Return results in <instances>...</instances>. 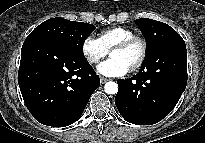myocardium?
<instances>
[{
	"instance_id": "myocardium-1",
	"label": "myocardium",
	"mask_w": 205,
	"mask_h": 143,
	"mask_svg": "<svg viewBox=\"0 0 205 143\" xmlns=\"http://www.w3.org/2000/svg\"><path fill=\"white\" fill-rule=\"evenodd\" d=\"M134 44H138L140 46V56L138 60L129 68V71L134 72L141 68V66L144 64L146 57H147V52H148V45L146 40L141 37L134 35L130 38H127L117 44H115L111 49H110V54L115 51V50H125L131 47Z\"/></svg>"
}]
</instances>
